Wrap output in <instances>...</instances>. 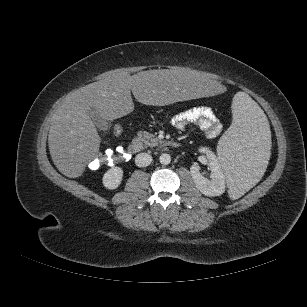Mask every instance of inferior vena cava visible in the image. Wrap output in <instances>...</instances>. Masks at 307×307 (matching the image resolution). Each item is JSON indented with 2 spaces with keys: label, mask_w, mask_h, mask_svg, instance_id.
Listing matches in <instances>:
<instances>
[{
  "label": "inferior vena cava",
  "mask_w": 307,
  "mask_h": 307,
  "mask_svg": "<svg viewBox=\"0 0 307 307\" xmlns=\"http://www.w3.org/2000/svg\"><path fill=\"white\" fill-rule=\"evenodd\" d=\"M152 162V156L148 153H139L135 157V164L138 167H147Z\"/></svg>",
  "instance_id": "602c4592"
}]
</instances>
